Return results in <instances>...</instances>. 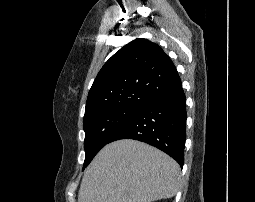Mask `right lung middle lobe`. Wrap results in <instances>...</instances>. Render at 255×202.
<instances>
[{
  "mask_svg": "<svg viewBox=\"0 0 255 202\" xmlns=\"http://www.w3.org/2000/svg\"><path fill=\"white\" fill-rule=\"evenodd\" d=\"M138 110L139 108L136 107H117L105 109L84 117L85 161L83 170L99 150L109 143L110 138L116 131Z\"/></svg>",
  "mask_w": 255,
  "mask_h": 202,
  "instance_id": "obj_1",
  "label": "right lung middle lobe"
}]
</instances>
